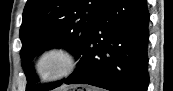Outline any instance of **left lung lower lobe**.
I'll list each match as a JSON object with an SVG mask.
<instances>
[{"label":"left lung lower lobe","mask_w":173,"mask_h":91,"mask_svg":"<svg viewBox=\"0 0 173 91\" xmlns=\"http://www.w3.org/2000/svg\"><path fill=\"white\" fill-rule=\"evenodd\" d=\"M149 18L146 0H109L83 47L78 67L64 83L147 91Z\"/></svg>","instance_id":"0a47b994"}]
</instances>
